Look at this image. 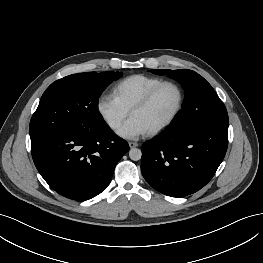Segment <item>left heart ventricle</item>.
<instances>
[{
    "instance_id": "b2bd125f",
    "label": "left heart ventricle",
    "mask_w": 263,
    "mask_h": 263,
    "mask_svg": "<svg viewBox=\"0 0 263 263\" xmlns=\"http://www.w3.org/2000/svg\"><path fill=\"white\" fill-rule=\"evenodd\" d=\"M178 98V91L171 85H165L158 90L148 105L136 110L131 116L137 118L147 131H150L171 116Z\"/></svg>"
}]
</instances>
